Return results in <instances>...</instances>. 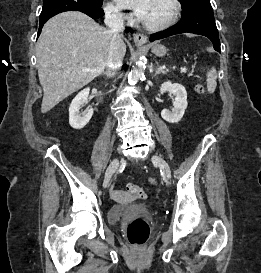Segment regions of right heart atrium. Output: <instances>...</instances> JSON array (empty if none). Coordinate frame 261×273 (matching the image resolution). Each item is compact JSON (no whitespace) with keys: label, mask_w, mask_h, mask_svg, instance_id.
Returning <instances> with one entry per match:
<instances>
[{"label":"right heart atrium","mask_w":261,"mask_h":273,"mask_svg":"<svg viewBox=\"0 0 261 273\" xmlns=\"http://www.w3.org/2000/svg\"><path fill=\"white\" fill-rule=\"evenodd\" d=\"M106 15L109 19L114 21H122L125 18L124 13L120 7L114 3H108L105 7Z\"/></svg>","instance_id":"obj_1"}]
</instances>
